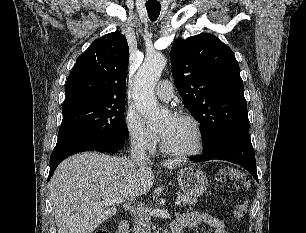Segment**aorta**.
Instances as JSON below:
<instances>
[{
    "label": "aorta",
    "instance_id": "aorta-1",
    "mask_svg": "<svg viewBox=\"0 0 306 233\" xmlns=\"http://www.w3.org/2000/svg\"><path fill=\"white\" fill-rule=\"evenodd\" d=\"M166 58L155 53L148 56L135 75L132 97L137 110L147 119L150 127L160 125L165 113L160 110L154 88L166 65ZM167 231L165 230L164 233Z\"/></svg>",
    "mask_w": 306,
    "mask_h": 233
}]
</instances>
